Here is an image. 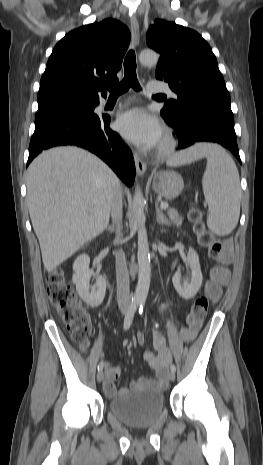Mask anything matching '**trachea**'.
Instances as JSON below:
<instances>
[{"mask_svg": "<svg viewBox=\"0 0 263 465\" xmlns=\"http://www.w3.org/2000/svg\"><path fill=\"white\" fill-rule=\"evenodd\" d=\"M124 72V78L120 83L116 85H105V87L110 92V96H119L125 93L130 87L136 91L141 90L136 74V56L133 50H130L125 57ZM157 96L162 97L163 95Z\"/></svg>", "mask_w": 263, "mask_h": 465, "instance_id": "1", "label": "trachea"}]
</instances>
